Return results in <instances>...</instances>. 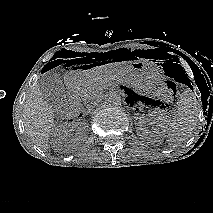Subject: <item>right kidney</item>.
Here are the masks:
<instances>
[{
    "instance_id": "right-kidney-1",
    "label": "right kidney",
    "mask_w": 213,
    "mask_h": 213,
    "mask_svg": "<svg viewBox=\"0 0 213 213\" xmlns=\"http://www.w3.org/2000/svg\"><path fill=\"white\" fill-rule=\"evenodd\" d=\"M86 127V123H80V125L77 126L79 137L82 138L81 140H85V138L87 137Z\"/></svg>"
}]
</instances>
